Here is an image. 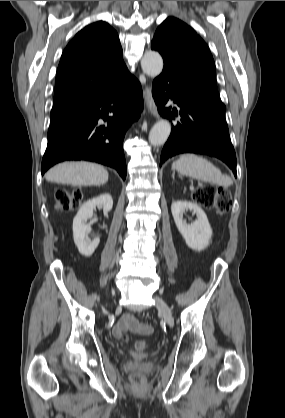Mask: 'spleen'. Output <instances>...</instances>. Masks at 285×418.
<instances>
[{"instance_id": "3e777b00", "label": "spleen", "mask_w": 285, "mask_h": 418, "mask_svg": "<svg viewBox=\"0 0 285 418\" xmlns=\"http://www.w3.org/2000/svg\"><path fill=\"white\" fill-rule=\"evenodd\" d=\"M172 169L194 179L208 181L223 187L232 185L233 181L207 159L194 154H183L173 162Z\"/></svg>"}]
</instances>
